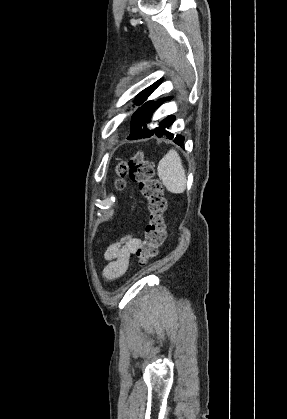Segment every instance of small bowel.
I'll list each match as a JSON object with an SVG mask.
<instances>
[{"label":"small bowel","mask_w":287,"mask_h":419,"mask_svg":"<svg viewBox=\"0 0 287 419\" xmlns=\"http://www.w3.org/2000/svg\"><path fill=\"white\" fill-rule=\"evenodd\" d=\"M140 244L141 240L133 235L111 244L105 252V258L108 260L103 271L105 278L112 280L126 273L131 266L132 255Z\"/></svg>","instance_id":"small-bowel-1"}]
</instances>
